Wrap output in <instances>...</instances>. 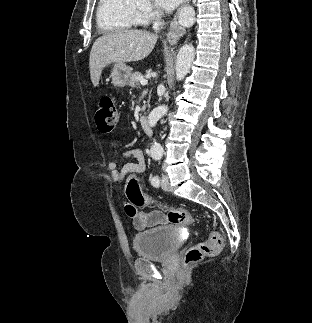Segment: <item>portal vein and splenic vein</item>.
I'll return each instance as SVG.
<instances>
[{"instance_id": "1", "label": "portal vein and splenic vein", "mask_w": 312, "mask_h": 323, "mask_svg": "<svg viewBox=\"0 0 312 323\" xmlns=\"http://www.w3.org/2000/svg\"><path fill=\"white\" fill-rule=\"evenodd\" d=\"M140 84H142V86H146L147 80H141Z\"/></svg>"}]
</instances>
